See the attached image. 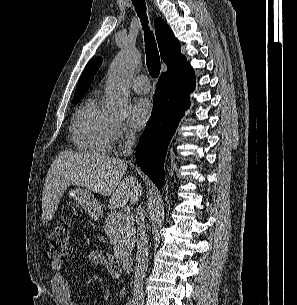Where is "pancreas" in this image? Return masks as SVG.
I'll list each match as a JSON object with an SVG mask.
<instances>
[{
  "instance_id": "cf45deb5",
  "label": "pancreas",
  "mask_w": 297,
  "mask_h": 305,
  "mask_svg": "<svg viewBox=\"0 0 297 305\" xmlns=\"http://www.w3.org/2000/svg\"><path fill=\"white\" fill-rule=\"evenodd\" d=\"M123 212L112 211L105 220L104 230L114 245V254L124 259L129 256L135 244L133 217Z\"/></svg>"
}]
</instances>
